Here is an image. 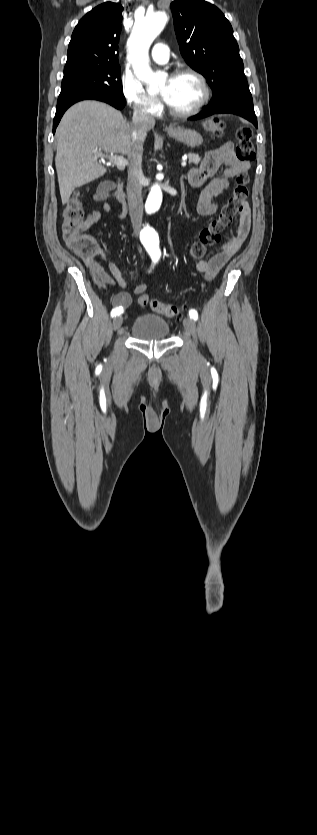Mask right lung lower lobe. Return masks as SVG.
Segmentation results:
<instances>
[{"mask_svg":"<svg viewBox=\"0 0 317 835\" xmlns=\"http://www.w3.org/2000/svg\"><path fill=\"white\" fill-rule=\"evenodd\" d=\"M86 99L99 100V101H102V102H106V103L114 106L117 109H122L125 106V103H126V100H125L124 96H118V95H115V94H112V93L105 92V93L92 94V95H89V96L80 97V98L70 100L68 102L57 104L56 114H55V117H54V120H53V133H55V129H56L62 115L64 114V112L71 105H73L74 103H76L78 101H81V100H86Z\"/></svg>","mask_w":317,"mask_h":835,"instance_id":"right-lung-lower-lobe-1","label":"right lung lower lobe"}]
</instances>
